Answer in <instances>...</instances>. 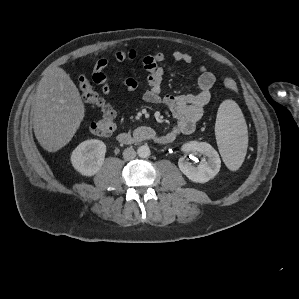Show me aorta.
I'll use <instances>...</instances> for the list:
<instances>
[{
  "mask_svg": "<svg viewBox=\"0 0 299 299\" xmlns=\"http://www.w3.org/2000/svg\"><path fill=\"white\" fill-rule=\"evenodd\" d=\"M138 156L147 158L150 156V148L147 145H142L137 149Z\"/></svg>",
  "mask_w": 299,
  "mask_h": 299,
  "instance_id": "762f6f07",
  "label": "aorta"
}]
</instances>
